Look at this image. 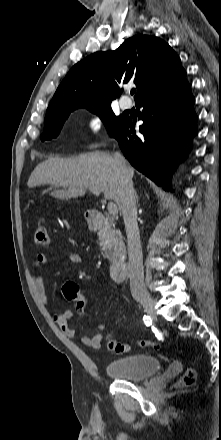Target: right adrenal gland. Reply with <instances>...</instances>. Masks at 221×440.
I'll return each instance as SVG.
<instances>
[{"instance_id":"obj_1","label":"right adrenal gland","mask_w":221,"mask_h":440,"mask_svg":"<svg viewBox=\"0 0 221 440\" xmlns=\"http://www.w3.org/2000/svg\"><path fill=\"white\" fill-rule=\"evenodd\" d=\"M134 194H135V199H136V202L138 203V195H137V193H136V191L134 190Z\"/></svg>"}]
</instances>
